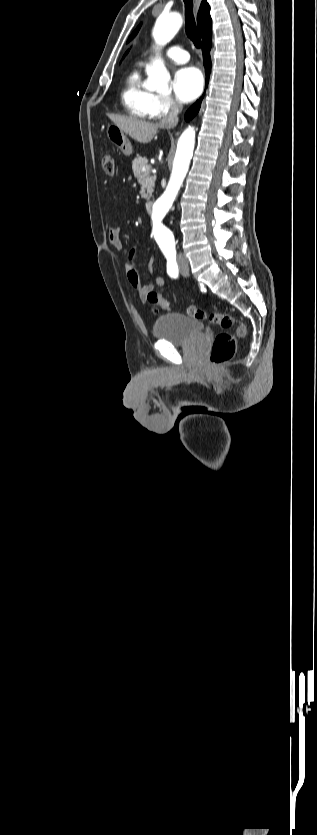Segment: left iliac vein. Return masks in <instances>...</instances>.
Masks as SVG:
<instances>
[{
    "label": "left iliac vein",
    "mask_w": 317,
    "mask_h": 835,
    "mask_svg": "<svg viewBox=\"0 0 317 835\" xmlns=\"http://www.w3.org/2000/svg\"><path fill=\"white\" fill-rule=\"evenodd\" d=\"M179 269L184 277H187L189 275V265L186 258L183 257L179 260Z\"/></svg>",
    "instance_id": "obj_1"
}]
</instances>
